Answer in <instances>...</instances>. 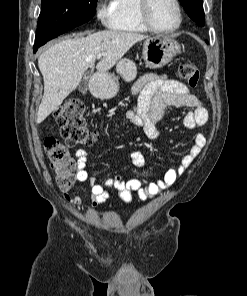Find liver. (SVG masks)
Returning <instances> with one entry per match:
<instances>
[{"label":"liver","mask_w":247,"mask_h":296,"mask_svg":"<svg viewBox=\"0 0 247 296\" xmlns=\"http://www.w3.org/2000/svg\"><path fill=\"white\" fill-rule=\"evenodd\" d=\"M148 36L123 31H99L86 37L62 40L43 52L38 67L44 80V94L37 114V123L43 122L79 85L88 68L97 63V73H106L137 42Z\"/></svg>","instance_id":"6515ba94"}]
</instances>
